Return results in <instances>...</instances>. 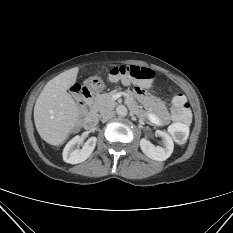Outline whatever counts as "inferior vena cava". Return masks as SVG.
Here are the masks:
<instances>
[{"mask_svg":"<svg viewBox=\"0 0 233 233\" xmlns=\"http://www.w3.org/2000/svg\"><path fill=\"white\" fill-rule=\"evenodd\" d=\"M114 116H115L114 111H107L104 114H102L101 121L106 122V121H108L109 119H111Z\"/></svg>","mask_w":233,"mask_h":233,"instance_id":"602c4592","label":"inferior vena cava"}]
</instances>
